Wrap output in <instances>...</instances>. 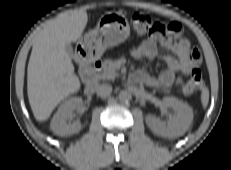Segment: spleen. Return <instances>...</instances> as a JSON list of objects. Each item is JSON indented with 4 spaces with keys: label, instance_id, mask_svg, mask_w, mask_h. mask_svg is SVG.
<instances>
[{
    "label": "spleen",
    "instance_id": "1",
    "mask_svg": "<svg viewBox=\"0 0 231 170\" xmlns=\"http://www.w3.org/2000/svg\"><path fill=\"white\" fill-rule=\"evenodd\" d=\"M209 102V90L208 88H203L201 92V103L203 108H206Z\"/></svg>",
    "mask_w": 231,
    "mask_h": 170
}]
</instances>
